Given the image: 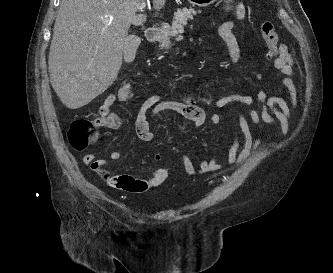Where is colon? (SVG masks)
<instances>
[{
  "label": "colon",
  "mask_w": 333,
  "mask_h": 273,
  "mask_svg": "<svg viewBox=\"0 0 333 273\" xmlns=\"http://www.w3.org/2000/svg\"><path fill=\"white\" fill-rule=\"evenodd\" d=\"M260 32L264 39L268 53L267 57L270 61H274L280 55V46L278 34L275 30L274 24L266 20L262 22L260 26ZM126 94L131 95V89L129 85H125L121 88ZM226 96H215L212 94H199L188 95L185 99V103L197 105L202 104L205 106L213 107L219 106L221 108L228 106V102L225 100ZM104 121L100 117L95 119H77L72 122L68 132V140L71 146L76 150H84L88 146L98 142L100 138L99 128L103 127ZM91 167L96 171L103 179L111 181L109 173L100 164L99 161H95L91 164Z\"/></svg>",
  "instance_id": "obj_1"
}]
</instances>
